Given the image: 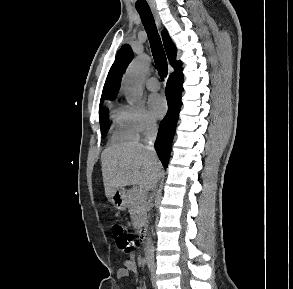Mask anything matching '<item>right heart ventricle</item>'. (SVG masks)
Returning a JSON list of instances; mask_svg holds the SVG:
<instances>
[{
	"label": "right heart ventricle",
	"mask_w": 293,
	"mask_h": 289,
	"mask_svg": "<svg viewBox=\"0 0 293 289\" xmlns=\"http://www.w3.org/2000/svg\"><path fill=\"white\" fill-rule=\"evenodd\" d=\"M111 124L112 142L132 141L138 138L130 107L111 104Z\"/></svg>",
	"instance_id": "right-heart-ventricle-1"
}]
</instances>
